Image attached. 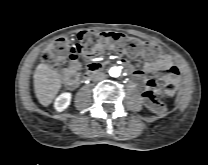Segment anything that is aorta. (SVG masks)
Masks as SVG:
<instances>
[{
	"mask_svg": "<svg viewBox=\"0 0 208 165\" xmlns=\"http://www.w3.org/2000/svg\"><path fill=\"white\" fill-rule=\"evenodd\" d=\"M120 74H121V68L120 67L114 66V67H111L110 70H109V75L111 77H119Z\"/></svg>",
	"mask_w": 208,
	"mask_h": 165,
	"instance_id": "aorta-1",
	"label": "aorta"
}]
</instances>
